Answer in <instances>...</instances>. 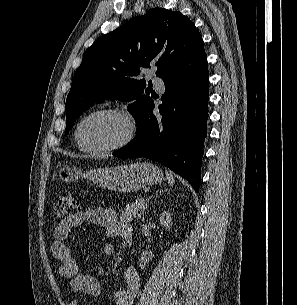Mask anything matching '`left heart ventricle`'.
I'll use <instances>...</instances> for the list:
<instances>
[{"instance_id": "obj_1", "label": "left heart ventricle", "mask_w": 297, "mask_h": 305, "mask_svg": "<svg viewBox=\"0 0 297 305\" xmlns=\"http://www.w3.org/2000/svg\"><path fill=\"white\" fill-rule=\"evenodd\" d=\"M126 133L122 119L114 115H96L86 120L80 130L84 146L101 147L120 141Z\"/></svg>"}]
</instances>
